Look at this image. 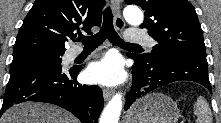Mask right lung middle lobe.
<instances>
[{
	"mask_svg": "<svg viewBox=\"0 0 221 123\" xmlns=\"http://www.w3.org/2000/svg\"><path fill=\"white\" fill-rule=\"evenodd\" d=\"M64 53L60 52H31L22 54H13V61L10 66V71L32 65L52 64L60 65L61 56Z\"/></svg>",
	"mask_w": 221,
	"mask_h": 123,
	"instance_id": "obj_1",
	"label": "right lung middle lobe"
}]
</instances>
